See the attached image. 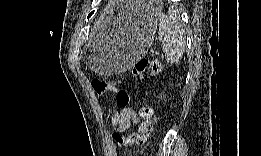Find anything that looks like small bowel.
<instances>
[{"mask_svg": "<svg viewBox=\"0 0 261 156\" xmlns=\"http://www.w3.org/2000/svg\"><path fill=\"white\" fill-rule=\"evenodd\" d=\"M137 122L135 112L128 107L119 108L112 117V126L117 132H125L133 123Z\"/></svg>", "mask_w": 261, "mask_h": 156, "instance_id": "obj_1", "label": "small bowel"}]
</instances>
